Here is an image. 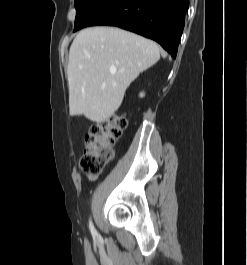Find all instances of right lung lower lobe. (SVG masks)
Returning <instances> with one entry per match:
<instances>
[{"mask_svg":"<svg viewBox=\"0 0 247 265\" xmlns=\"http://www.w3.org/2000/svg\"><path fill=\"white\" fill-rule=\"evenodd\" d=\"M188 7L189 0H98L74 31L118 26L157 41L175 58Z\"/></svg>","mask_w":247,"mask_h":265,"instance_id":"right-lung-lower-lobe-1","label":"right lung lower lobe"}]
</instances>
